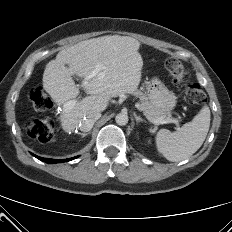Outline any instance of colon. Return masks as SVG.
Returning <instances> with one entry per match:
<instances>
[{
  "instance_id": "colon-1",
  "label": "colon",
  "mask_w": 232,
  "mask_h": 232,
  "mask_svg": "<svg viewBox=\"0 0 232 232\" xmlns=\"http://www.w3.org/2000/svg\"><path fill=\"white\" fill-rule=\"evenodd\" d=\"M165 67L176 85L184 86V95L190 104H201L206 100V94L197 83L189 81V72L177 58L170 57L165 61ZM29 99L37 113H44L53 107V101L40 86L33 87ZM27 134L40 142H50L54 134V122L49 118H29L26 122Z\"/></svg>"
}]
</instances>
